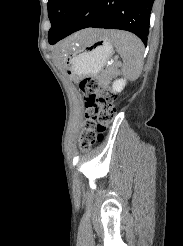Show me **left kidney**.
Wrapping results in <instances>:
<instances>
[{"mask_svg":"<svg viewBox=\"0 0 183 246\" xmlns=\"http://www.w3.org/2000/svg\"><path fill=\"white\" fill-rule=\"evenodd\" d=\"M125 85H126V79H118L113 82L112 90L114 92L119 93L124 89Z\"/></svg>","mask_w":183,"mask_h":246,"instance_id":"obj_1","label":"left kidney"}]
</instances>
